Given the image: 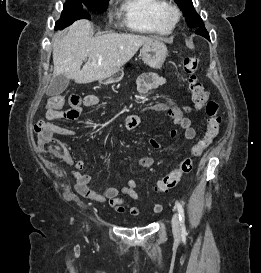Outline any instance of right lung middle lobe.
<instances>
[{"label":"right lung middle lobe","instance_id":"1","mask_svg":"<svg viewBox=\"0 0 261 273\" xmlns=\"http://www.w3.org/2000/svg\"><path fill=\"white\" fill-rule=\"evenodd\" d=\"M109 0H67L60 20L56 22L55 28L62 29L78 19H90L89 14L82 9L84 4L90 11L102 13L106 10Z\"/></svg>","mask_w":261,"mask_h":273}]
</instances>
